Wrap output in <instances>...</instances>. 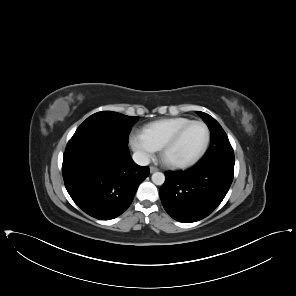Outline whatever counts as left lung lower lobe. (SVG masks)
<instances>
[{
    "label": "left lung lower lobe",
    "instance_id": "0a47b994",
    "mask_svg": "<svg viewBox=\"0 0 296 296\" xmlns=\"http://www.w3.org/2000/svg\"><path fill=\"white\" fill-rule=\"evenodd\" d=\"M234 176V158L197 163L187 171L166 172L159 190L167 213L179 222H195L213 212L227 194Z\"/></svg>",
    "mask_w": 296,
    "mask_h": 296
}]
</instances>
